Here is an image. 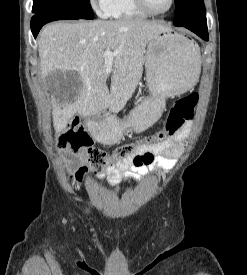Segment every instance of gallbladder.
<instances>
[{"label": "gallbladder", "instance_id": "obj_1", "mask_svg": "<svg viewBox=\"0 0 247 275\" xmlns=\"http://www.w3.org/2000/svg\"><path fill=\"white\" fill-rule=\"evenodd\" d=\"M46 84L59 101L69 98L72 93L78 92L81 87L78 74L71 71L66 73L60 71L51 73L46 78Z\"/></svg>", "mask_w": 247, "mask_h": 275}]
</instances>
